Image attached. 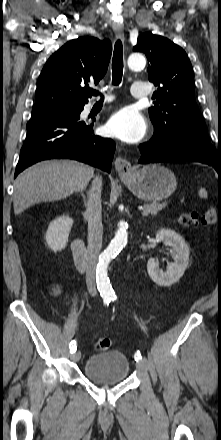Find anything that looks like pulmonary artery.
<instances>
[{"label":"pulmonary artery","mask_w":221,"mask_h":440,"mask_svg":"<svg viewBox=\"0 0 221 440\" xmlns=\"http://www.w3.org/2000/svg\"><path fill=\"white\" fill-rule=\"evenodd\" d=\"M131 94L136 98H146L149 95V90L144 83L134 82L131 85ZM112 97L106 96L104 102H110Z\"/></svg>","instance_id":"pulmonary-artery-1"}]
</instances>
